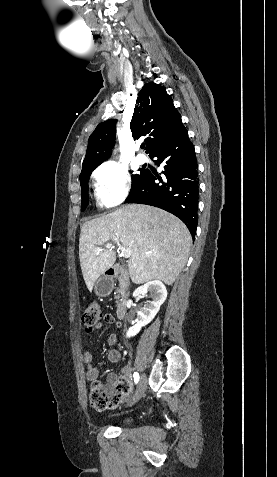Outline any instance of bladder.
Wrapping results in <instances>:
<instances>
[{"label":"bladder","mask_w":277,"mask_h":477,"mask_svg":"<svg viewBox=\"0 0 277 477\" xmlns=\"http://www.w3.org/2000/svg\"><path fill=\"white\" fill-rule=\"evenodd\" d=\"M130 421H131L130 418H124V419L122 420L123 423H129Z\"/></svg>","instance_id":"obj_1"}]
</instances>
